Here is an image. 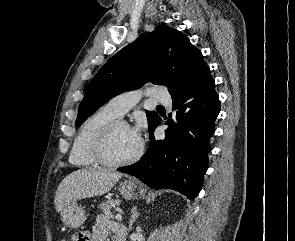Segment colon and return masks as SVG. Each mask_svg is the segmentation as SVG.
Instances as JSON below:
<instances>
[{
  "label": "colon",
  "mask_w": 295,
  "mask_h": 241,
  "mask_svg": "<svg viewBox=\"0 0 295 241\" xmlns=\"http://www.w3.org/2000/svg\"><path fill=\"white\" fill-rule=\"evenodd\" d=\"M86 239L87 237L84 235V233L79 232L73 236L72 241H86Z\"/></svg>",
  "instance_id": "colon-1"
}]
</instances>
